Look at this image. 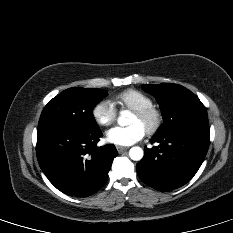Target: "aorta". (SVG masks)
Instances as JSON below:
<instances>
[{"label":"aorta","mask_w":233,"mask_h":233,"mask_svg":"<svg viewBox=\"0 0 233 233\" xmlns=\"http://www.w3.org/2000/svg\"><path fill=\"white\" fill-rule=\"evenodd\" d=\"M130 115V113L128 111H122L120 113V116L118 118V123L120 126H125L127 125V117ZM143 150L142 148L138 147V146H135V147H132L130 150H129V156L132 160L134 161H139L143 158Z\"/></svg>","instance_id":"aorta-1"}]
</instances>
